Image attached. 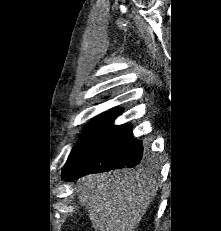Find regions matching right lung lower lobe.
I'll list each match as a JSON object with an SVG mask.
<instances>
[{
  "label": "right lung lower lobe",
  "mask_w": 221,
  "mask_h": 231,
  "mask_svg": "<svg viewBox=\"0 0 221 231\" xmlns=\"http://www.w3.org/2000/svg\"><path fill=\"white\" fill-rule=\"evenodd\" d=\"M143 160V145L134 139L132 127L110 123L97 141L62 171V179L73 181L89 173L131 168Z\"/></svg>",
  "instance_id": "right-lung-lower-lobe-1"
}]
</instances>
